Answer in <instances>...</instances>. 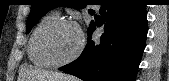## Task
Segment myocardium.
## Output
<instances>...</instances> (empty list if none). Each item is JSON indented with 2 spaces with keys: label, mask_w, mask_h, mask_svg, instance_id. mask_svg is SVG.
I'll return each mask as SVG.
<instances>
[{
  "label": "myocardium",
  "mask_w": 169,
  "mask_h": 81,
  "mask_svg": "<svg viewBox=\"0 0 169 81\" xmlns=\"http://www.w3.org/2000/svg\"><path fill=\"white\" fill-rule=\"evenodd\" d=\"M63 26H72L78 30L79 35H80V44L76 52L73 55H71L69 58L65 60H58V59H55L53 55L51 54L50 48H49V42L54 32ZM40 47H41V52H42L43 57L52 66L59 67V66H64L66 64H69L75 61L81 55L85 47V39H84V35L79 25L75 21L70 20V19H58L56 22L51 24L43 33L41 37Z\"/></svg>",
  "instance_id": "obj_1"
}]
</instances>
